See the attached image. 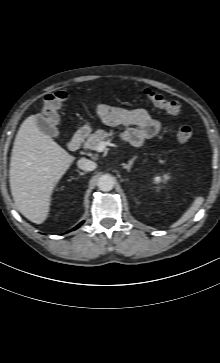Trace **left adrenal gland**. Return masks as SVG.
<instances>
[{
  "label": "left adrenal gland",
  "mask_w": 220,
  "mask_h": 363,
  "mask_svg": "<svg viewBox=\"0 0 220 363\" xmlns=\"http://www.w3.org/2000/svg\"><path fill=\"white\" fill-rule=\"evenodd\" d=\"M136 156L135 157H133L129 162H128V164H123V168L124 169H126L127 171H130V169H131V167H132V165H133V163H134V161L136 160Z\"/></svg>",
  "instance_id": "1"
}]
</instances>
